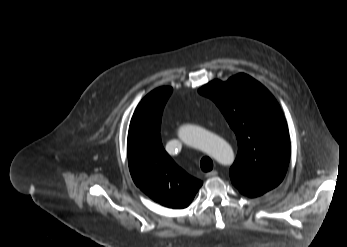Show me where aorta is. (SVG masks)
Masks as SVG:
<instances>
[{
	"label": "aorta",
	"mask_w": 347,
	"mask_h": 247,
	"mask_svg": "<svg viewBox=\"0 0 347 247\" xmlns=\"http://www.w3.org/2000/svg\"><path fill=\"white\" fill-rule=\"evenodd\" d=\"M178 136L185 144L204 151L223 165H229L235 159L231 146L224 139L200 126L184 124L179 128Z\"/></svg>",
	"instance_id": "aorta-1"
}]
</instances>
